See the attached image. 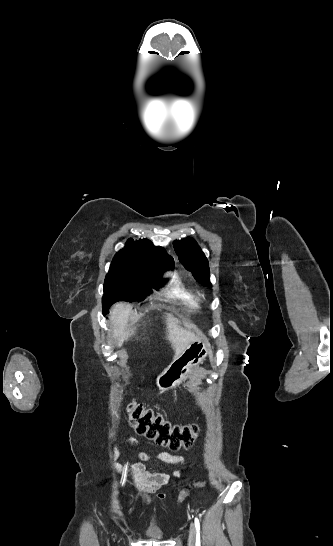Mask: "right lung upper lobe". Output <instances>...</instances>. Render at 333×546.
Here are the masks:
<instances>
[{"instance_id": "obj_1", "label": "right lung upper lobe", "mask_w": 333, "mask_h": 546, "mask_svg": "<svg viewBox=\"0 0 333 546\" xmlns=\"http://www.w3.org/2000/svg\"><path fill=\"white\" fill-rule=\"evenodd\" d=\"M113 263L120 264L129 272L154 275L160 264L174 265V260L164 248L155 247L148 239H129L126 247L116 253Z\"/></svg>"}]
</instances>
